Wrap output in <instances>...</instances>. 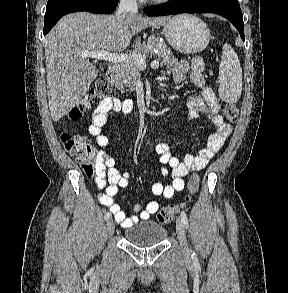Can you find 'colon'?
Listing matches in <instances>:
<instances>
[{"label":"colon","instance_id":"colon-1","mask_svg":"<svg viewBox=\"0 0 288 293\" xmlns=\"http://www.w3.org/2000/svg\"><path fill=\"white\" fill-rule=\"evenodd\" d=\"M112 90L106 81L98 80L90 93L68 114V118L72 121L79 120L91 108V106L101 100L111 98ZM224 115L228 121L235 122L238 118V108L235 105H227L224 108ZM61 141L66 151L75 158L81 166L84 173L91 177L95 173L94 162L97 157L95 148L90 144L86 136L80 134L63 133ZM200 179L194 174L190 177L187 184V195L185 201L179 205H168L161 208L157 213V219L161 223L171 222L178 214L179 210L186 207L193 196L198 192Z\"/></svg>","mask_w":288,"mask_h":293}]
</instances>
